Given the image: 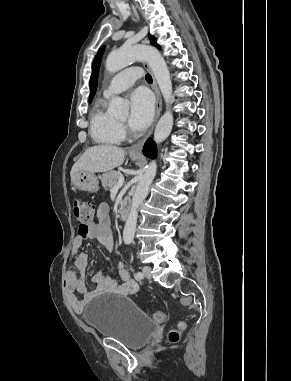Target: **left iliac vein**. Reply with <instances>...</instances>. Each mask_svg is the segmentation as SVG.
Wrapping results in <instances>:
<instances>
[{
  "label": "left iliac vein",
  "mask_w": 291,
  "mask_h": 381,
  "mask_svg": "<svg viewBox=\"0 0 291 381\" xmlns=\"http://www.w3.org/2000/svg\"><path fill=\"white\" fill-rule=\"evenodd\" d=\"M142 273H143V275H144L146 278L150 279V278H151V267H149V266H144V267L142 268Z\"/></svg>",
  "instance_id": "obj_1"
}]
</instances>
